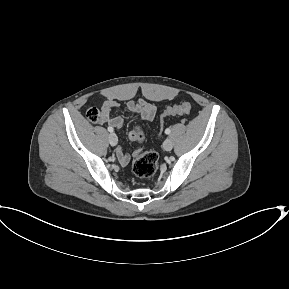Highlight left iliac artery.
Listing matches in <instances>:
<instances>
[{
    "mask_svg": "<svg viewBox=\"0 0 289 289\" xmlns=\"http://www.w3.org/2000/svg\"><path fill=\"white\" fill-rule=\"evenodd\" d=\"M170 132H171V130H170L169 128H167V129L165 130V133H166V134H170Z\"/></svg>",
    "mask_w": 289,
    "mask_h": 289,
    "instance_id": "obj_1",
    "label": "left iliac artery"
}]
</instances>
